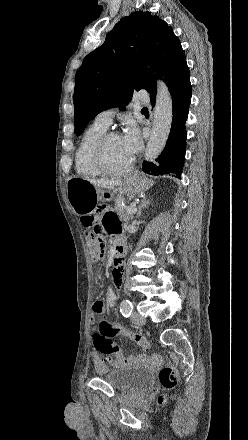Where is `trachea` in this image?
<instances>
[{
	"label": "trachea",
	"instance_id": "obj_1",
	"mask_svg": "<svg viewBox=\"0 0 248 440\" xmlns=\"http://www.w3.org/2000/svg\"><path fill=\"white\" fill-rule=\"evenodd\" d=\"M145 110H147V108H142V111H145Z\"/></svg>",
	"mask_w": 248,
	"mask_h": 440
}]
</instances>
